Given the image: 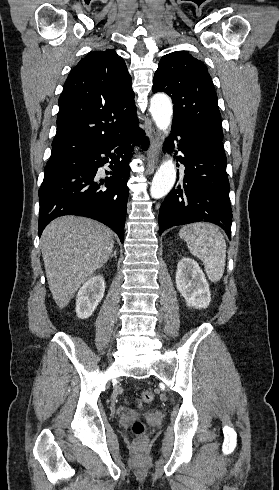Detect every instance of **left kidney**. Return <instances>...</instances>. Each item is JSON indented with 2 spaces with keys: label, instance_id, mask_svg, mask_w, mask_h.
I'll use <instances>...</instances> for the list:
<instances>
[{
  "label": "left kidney",
  "instance_id": "1",
  "mask_svg": "<svg viewBox=\"0 0 279 490\" xmlns=\"http://www.w3.org/2000/svg\"><path fill=\"white\" fill-rule=\"evenodd\" d=\"M176 288L189 308H208L211 302L209 284L195 260L182 258L176 272Z\"/></svg>",
  "mask_w": 279,
  "mask_h": 490
}]
</instances>
